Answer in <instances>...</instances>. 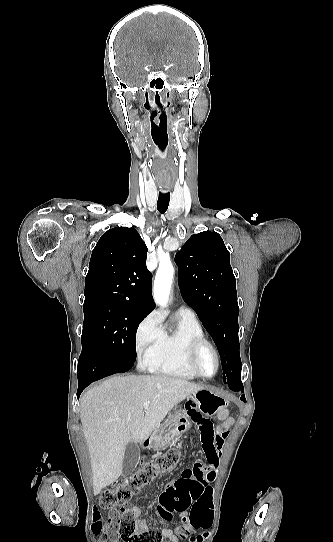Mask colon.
<instances>
[{
  "mask_svg": "<svg viewBox=\"0 0 333 542\" xmlns=\"http://www.w3.org/2000/svg\"><path fill=\"white\" fill-rule=\"evenodd\" d=\"M149 455L145 454L144 462L138 471L128 475L118 485L102 493L99 506L107 510V515H100L93 526L98 533L100 540H115L117 538L116 528L125 542H163L159 539L158 531H139L133 535L135 525L131 522L136 511V504L128 502L139 491L149 484L156 476L172 471L180 461L178 451H169L163 457L153 462H148ZM216 467L214 458H192L190 465L185 467L184 479L170 484V489H162L158 498L159 504L156 508L158 517L164 522L173 520V516H180L178 513L185 511L187 524L202 525L215 524L216 516L208 505H197L198 501L209 503L212 498L208 495L212 491L209 483H196L193 479L203 481L206 473L211 476L212 470ZM206 469V473H205ZM123 507H119L122 506ZM183 516V515H181ZM110 525L112 529H100V526Z\"/></svg>",
  "mask_w": 333,
  "mask_h": 542,
  "instance_id": "5ec220e1",
  "label": "colon"
}]
</instances>
